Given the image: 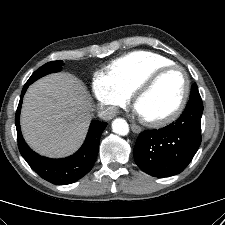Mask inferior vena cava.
<instances>
[{
	"mask_svg": "<svg viewBox=\"0 0 225 225\" xmlns=\"http://www.w3.org/2000/svg\"><path fill=\"white\" fill-rule=\"evenodd\" d=\"M117 112V107L115 106H101L99 110V117L102 119H111Z\"/></svg>",
	"mask_w": 225,
	"mask_h": 225,
	"instance_id": "1",
	"label": "inferior vena cava"
}]
</instances>
